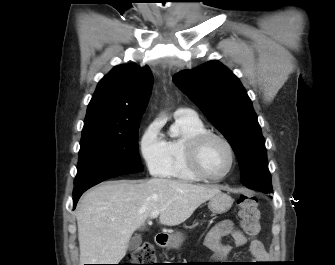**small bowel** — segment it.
<instances>
[{
    "mask_svg": "<svg viewBox=\"0 0 335 265\" xmlns=\"http://www.w3.org/2000/svg\"><path fill=\"white\" fill-rule=\"evenodd\" d=\"M231 235L232 243L224 242L223 238ZM250 242V255L255 261H264L266 251L262 242L255 236L247 237L242 231L238 230L229 220H224L216 224L205 239V245L214 252L215 260H224L228 257L233 248L241 247Z\"/></svg>",
    "mask_w": 335,
    "mask_h": 265,
    "instance_id": "c3829d8e",
    "label": "small bowel"
}]
</instances>
